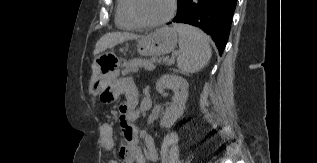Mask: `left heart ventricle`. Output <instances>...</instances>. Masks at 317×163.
Segmentation results:
<instances>
[{
  "label": "left heart ventricle",
  "instance_id": "obj_1",
  "mask_svg": "<svg viewBox=\"0 0 317 163\" xmlns=\"http://www.w3.org/2000/svg\"><path fill=\"white\" fill-rule=\"evenodd\" d=\"M138 14L145 21H158L165 17L170 9L171 0H136Z\"/></svg>",
  "mask_w": 317,
  "mask_h": 163
}]
</instances>
